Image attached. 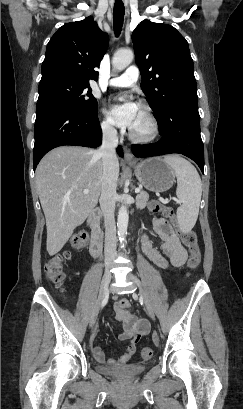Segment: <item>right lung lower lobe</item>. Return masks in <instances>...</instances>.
<instances>
[{"instance_id": "1", "label": "right lung lower lobe", "mask_w": 243, "mask_h": 409, "mask_svg": "<svg viewBox=\"0 0 243 409\" xmlns=\"http://www.w3.org/2000/svg\"><path fill=\"white\" fill-rule=\"evenodd\" d=\"M102 131L97 110L79 112L67 108H47L36 112L33 169L51 149L62 145L95 148L101 144ZM117 152L122 156L119 146Z\"/></svg>"}]
</instances>
